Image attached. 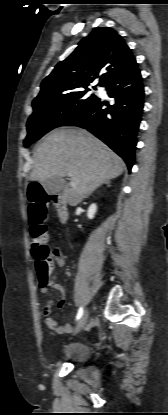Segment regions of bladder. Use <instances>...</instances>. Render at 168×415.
<instances>
[{"label": "bladder", "instance_id": "obj_1", "mask_svg": "<svg viewBox=\"0 0 168 415\" xmlns=\"http://www.w3.org/2000/svg\"><path fill=\"white\" fill-rule=\"evenodd\" d=\"M90 356L89 348L81 343L73 344L65 350V357L74 363H82Z\"/></svg>", "mask_w": 168, "mask_h": 415}]
</instances>
